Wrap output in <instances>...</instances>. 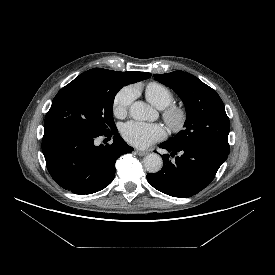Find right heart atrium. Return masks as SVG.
Returning <instances> with one entry per match:
<instances>
[{
	"mask_svg": "<svg viewBox=\"0 0 275 275\" xmlns=\"http://www.w3.org/2000/svg\"><path fill=\"white\" fill-rule=\"evenodd\" d=\"M135 97V90L131 86L121 88L114 96L112 111L117 118L126 116L129 106Z\"/></svg>",
	"mask_w": 275,
	"mask_h": 275,
	"instance_id": "right-heart-atrium-1",
	"label": "right heart atrium"
}]
</instances>
